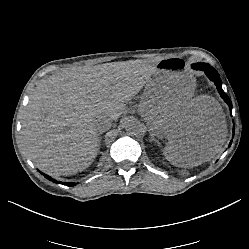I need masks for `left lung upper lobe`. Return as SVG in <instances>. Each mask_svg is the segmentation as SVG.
Instances as JSON below:
<instances>
[{
  "instance_id": "5c2ea615",
  "label": "left lung upper lobe",
  "mask_w": 249,
  "mask_h": 249,
  "mask_svg": "<svg viewBox=\"0 0 249 249\" xmlns=\"http://www.w3.org/2000/svg\"><path fill=\"white\" fill-rule=\"evenodd\" d=\"M206 63H197V64H193L192 67L195 69L196 66L198 65H205Z\"/></svg>"
}]
</instances>
